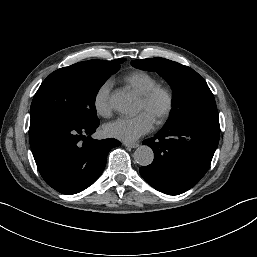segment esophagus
Wrapping results in <instances>:
<instances>
[{"mask_svg": "<svg viewBox=\"0 0 257 257\" xmlns=\"http://www.w3.org/2000/svg\"><path fill=\"white\" fill-rule=\"evenodd\" d=\"M123 145L128 148H137L139 146L138 143H129V142H124Z\"/></svg>", "mask_w": 257, "mask_h": 257, "instance_id": "1", "label": "esophagus"}]
</instances>
